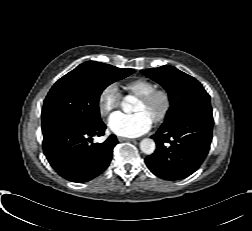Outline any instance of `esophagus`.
Segmentation results:
<instances>
[{
    "label": "esophagus",
    "mask_w": 252,
    "mask_h": 231,
    "mask_svg": "<svg viewBox=\"0 0 252 231\" xmlns=\"http://www.w3.org/2000/svg\"><path fill=\"white\" fill-rule=\"evenodd\" d=\"M118 141L119 142H123V141H135V139H130V138H126V137H118Z\"/></svg>",
    "instance_id": "obj_1"
}]
</instances>
